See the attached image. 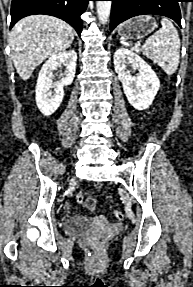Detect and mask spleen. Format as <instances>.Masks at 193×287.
<instances>
[{
  "label": "spleen",
  "instance_id": "spleen-1",
  "mask_svg": "<svg viewBox=\"0 0 193 287\" xmlns=\"http://www.w3.org/2000/svg\"><path fill=\"white\" fill-rule=\"evenodd\" d=\"M161 25L162 27L145 41L142 52L156 62L167 75H172L179 65L180 39L171 21L163 18Z\"/></svg>",
  "mask_w": 193,
  "mask_h": 287
}]
</instances>
